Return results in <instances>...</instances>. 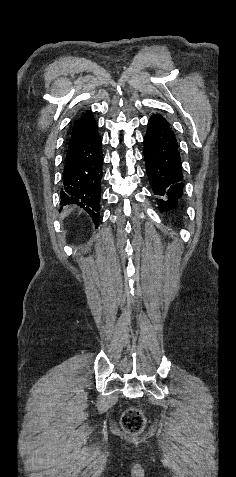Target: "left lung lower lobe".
<instances>
[{"instance_id": "1", "label": "left lung lower lobe", "mask_w": 236, "mask_h": 477, "mask_svg": "<svg viewBox=\"0 0 236 477\" xmlns=\"http://www.w3.org/2000/svg\"><path fill=\"white\" fill-rule=\"evenodd\" d=\"M178 147L168 122L152 115L144 137L146 171L159 207L171 213L178 211L184 187Z\"/></svg>"}]
</instances>
